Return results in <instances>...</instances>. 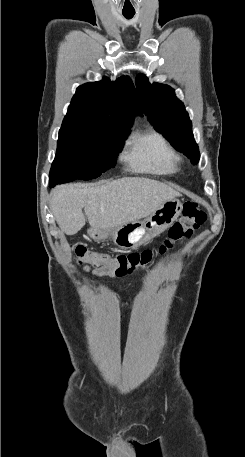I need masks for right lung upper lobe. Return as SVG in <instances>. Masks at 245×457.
I'll return each mask as SVG.
<instances>
[{"instance_id":"obj_1","label":"right lung upper lobe","mask_w":245,"mask_h":457,"mask_svg":"<svg viewBox=\"0 0 245 457\" xmlns=\"http://www.w3.org/2000/svg\"><path fill=\"white\" fill-rule=\"evenodd\" d=\"M142 110L130 78H108L79 86L68 107L66 119L132 125Z\"/></svg>"}]
</instances>
